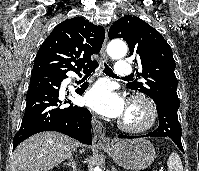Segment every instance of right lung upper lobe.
I'll use <instances>...</instances> for the list:
<instances>
[{
    "instance_id": "cb5924a9",
    "label": "right lung upper lobe",
    "mask_w": 199,
    "mask_h": 171,
    "mask_svg": "<svg viewBox=\"0 0 199 171\" xmlns=\"http://www.w3.org/2000/svg\"><path fill=\"white\" fill-rule=\"evenodd\" d=\"M105 38L102 26L82 17L58 24L45 39L36 55L32 74L80 72L96 64L91 55L99 53Z\"/></svg>"
}]
</instances>
